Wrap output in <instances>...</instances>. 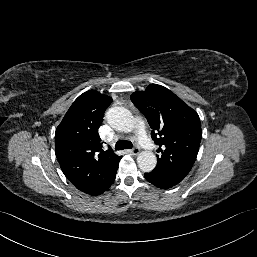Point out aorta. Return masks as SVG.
I'll return each instance as SVG.
<instances>
[{"instance_id": "762f6f07", "label": "aorta", "mask_w": 257, "mask_h": 257, "mask_svg": "<svg viewBox=\"0 0 257 257\" xmlns=\"http://www.w3.org/2000/svg\"><path fill=\"white\" fill-rule=\"evenodd\" d=\"M107 123L117 131L130 132L134 127L133 116L124 107H111L106 113ZM138 167L143 172H151L157 164L156 156L151 151H143L137 156Z\"/></svg>"}]
</instances>
